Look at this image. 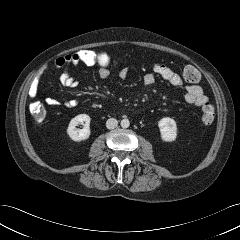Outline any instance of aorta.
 I'll return each instance as SVG.
<instances>
[{
  "label": "aorta",
  "mask_w": 240,
  "mask_h": 240,
  "mask_svg": "<svg viewBox=\"0 0 240 240\" xmlns=\"http://www.w3.org/2000/svg\"><path fill=\"white\" fill-rule=\"evenodd\" d=\"M120 125L122 128H128L130 126V121L128 119H122Z\"/></svg>",
  "instance_id": "762f6f07"
}]
</instances>
